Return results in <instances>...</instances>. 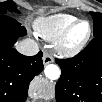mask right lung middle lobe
Instances as JSON below:
<instances>
[{
	"mask_svg": "<svg viewBox=\"0 0 102 102\" xmlns=\"http://www.w3.org/2000/svg\"><path fill=\"white\" fill-rule=\"evenodd\" d=\"M0 5H1V7H0V14H1V16L5 15V13L7 11L17 12V13L19 12L17 10V8H16V4L13 1L2 2V3H0Z\"/></svg>",
	"mask_w": 102,
	"mask_h": 102,
	"instance_id": "obj_1",
	"label": "right lung middle lobe"
}]
</instances>
